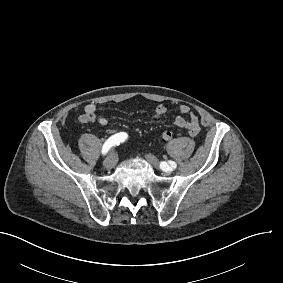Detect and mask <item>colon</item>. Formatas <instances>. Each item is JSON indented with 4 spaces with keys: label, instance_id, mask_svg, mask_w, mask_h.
Segmentation results:
<instances>
[{
    "label": "colon",
    "instance_id": "1",
    "mask_svg": "<svg viewBox=\"0 0 283 283\" xmlns=\"http://www.w3.org/2000/svg\"><path fill=\"white\" fill-rule=\"evenodd\" d=\"M174 136V132L172 130H166L162 133L160 142L161 143H168Z\"/></svg>",
    "mask_w": 283,
    "mask_h": 283
}]
</instances>
